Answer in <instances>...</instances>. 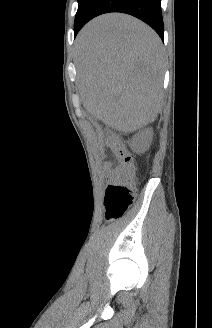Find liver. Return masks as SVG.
Returning a JSON list of instances; mask_svg holds the SVG:
<instances>
[{
  "label": "liver",
  "instance_id": "obj_1",
  "mask_svg": "<svg viewBox=\"0 0 212 328\" xmlns=\"http://www.w3.org/2000/svg\"><path fill=\"white\" fill-rule=\"evenodd\" d=\"M76 46L88 113L124 133L154 122L162 107L164 55L149 26L129 15L104 14L83 27Z\"/></svg>",
  "mask_w": 212,
  "mask_h": 328
}]
</instances>
